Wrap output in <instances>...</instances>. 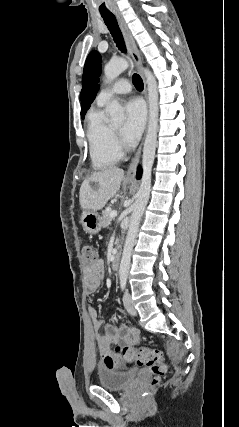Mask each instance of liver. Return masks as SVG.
<instances>
[{"instance_id":"obj_1","label":"liver","mask_w":239,"mask_h":427,"mask_svg":"<svg viewBox=\"0 0 239 427\" xmlns=\"http://www.w3.org/2000/svg\"><path fill=\"white\" fill-rule=\"evenodd\" d=\"M124 170L116 166L95 171L80 187L79 202L85 210H101L119 191ZM95 183L96 186H92Z\"/></svg>"}]
</instances>
